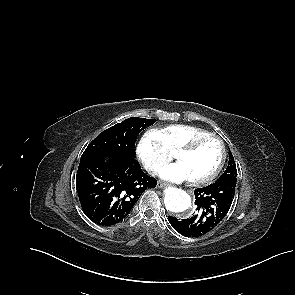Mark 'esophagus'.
Returning a JSON list of instances; mask_svg holds the SVG:
<instances>
[{"label": "esophagus", "mask_w": 295, "mask_h": 295, "mask_svg": "<svg viewBox=\"0 0 295 295\" xmlns=\"http://www.w3.org/2000/svg\"><path fill=\"white\" fill-rule=\"evenodd\" d=\"M166 186V184L165 183H162V182H159L158 184H157V187L158 188H163V187H165Z\"/></svg>", "instance_id": "esophagus-1"}]
</instances>
